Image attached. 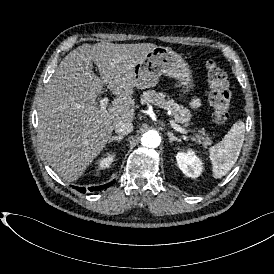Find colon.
<instances>
[{
    "mask_svg": "<svg viewBox=\"0 0 274 274\" xmlns=\"http://www.w3.org/2000/svg\"><path fill=\"white\" fill-rule=\"evenodd\" d=\"M206 77L211 91L208 95L215 123L224 124L230 114L232 93L228 76L215 60L205 62Z\"/></svg>",
    "mask_w": 274,
    "mask_h": 274,
    "instance_id": "1",
    "label": "colon"
}]
</instances>
